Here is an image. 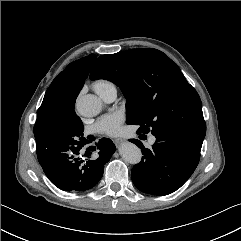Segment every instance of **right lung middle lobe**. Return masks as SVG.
Returning a JSON list of instances; mask_svg holds the SVG:
<instances>
[{"instance_id": "obj_1", "label": "right lung middle lobe", "mask_w": 241, "mask_h": 241, "mask_svg": "<svg viewBox=\"0 0 241 241\" xmlns=\"http://www.w3.org/2000/svg\"><path fill=\"white\" fill-rule=\"evenodd\" d=\"M37 124L40 126L36 137L44 144L64 145L81 148L86 139L84 126L74 108L60 109L49 104H41L37 111Z\"/></svg>"}]
</instances>
